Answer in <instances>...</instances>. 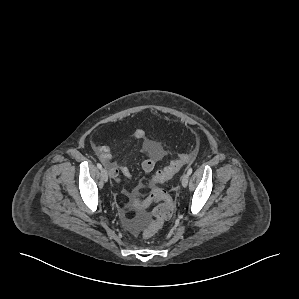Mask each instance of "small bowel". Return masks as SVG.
Segmentation results:
<instances>
[{"mask_svg":"<svg viewBox=\"0 0 299 299\" xmlns=\"http://www.w3.org/2000/svg\"><path fill=\"white\" fill-rule=\"evenodd\" d=\"M133 138L141 143L142 149L148 155L147 159L142 162L143 171L146 173H151L154 170L156 164L165 156L164 147L160 143L148 138L145 131L142 129H137L133 133ZM96 153L102 164L108 168L112 179H114L115 181H119L120 175H123L125 177L130 176V170L125 165L113 160L111 149L108 146H98L96 149ZM142 188L143 186L140 185L134 191H125V195L130 200L129 204L124 209L125 211L135 208L133 205V199L137 196L138 192Z\"/></svg>","mask_w":299,"mask_h":299,"instance_id":"1","label":"small bowel"}]
</instances>
